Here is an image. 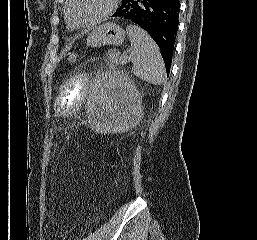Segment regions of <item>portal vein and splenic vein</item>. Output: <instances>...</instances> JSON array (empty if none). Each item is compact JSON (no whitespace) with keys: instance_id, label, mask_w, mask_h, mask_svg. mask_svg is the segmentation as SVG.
Instances as JSON below:
<instances>
[{"instance_id":"1","label":"portal vein and splenic vein","mask_w":257,"mask_h":240,"mask_svg":"<svg viewBox=\"0 0 257 240\" xmlns=\"http://www.w3.org/2000/svg\"><path fill=\"white\" fill-rule=\"evenodd\" d=\"M120 61H121L122 64H126L129 61H134V58L129 57L128 55H122V56H120Z\"/></svg>"}]
</instances>
